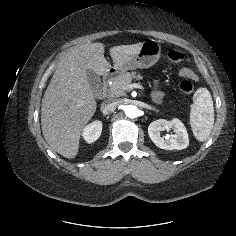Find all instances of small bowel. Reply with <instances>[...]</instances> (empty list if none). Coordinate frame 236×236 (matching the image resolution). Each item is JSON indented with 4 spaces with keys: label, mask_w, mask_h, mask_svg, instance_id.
I'll return each mask as SVG.
<instances>
[{
    "label": "small bowel",
    "mask_w": 236,
    "mask_h": 236,
    "mask_svg": "<svg viewBox=\"0 0 236 236\" xmlns=\"http://www.w3.org/2000/svg\"><path fill=\"white\" fill-rule=\"evenodd\" d=\"M180 74L182 76L185 77H191V78H195V74L193 73V71L189 68H183L180 72ZM153 97L157 100V101H161L163 99V92L159 87L158 83L154 84V91H153Z\"/></svg>",
    "instance_id": "obj_1"
}]
</instances>
